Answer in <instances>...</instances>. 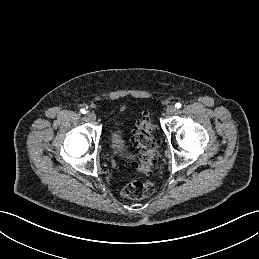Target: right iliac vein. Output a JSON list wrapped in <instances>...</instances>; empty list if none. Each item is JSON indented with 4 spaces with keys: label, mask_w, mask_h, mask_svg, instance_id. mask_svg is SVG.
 <instances>
[{
    "label": "right iliac vein",
    "mask_w": 259,
    "mask_h": 259,
    "mask_svg": "<svg viewBox=\"0 0 259 259\" xmlns=\"http://www.w3.org/2000/svg\"><path fill=\"white\" fill-rule=\"evenodd\" d=\"M87 117L91 120V121H94L96 119V116L93 112H89L87 114Z\"/></svg>",
    "instance_id": "right-iliac-vein-1"
}]
</instances>
